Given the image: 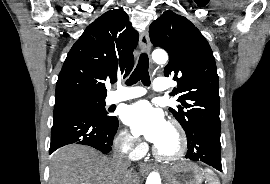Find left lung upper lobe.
<instances>
[{
  "label": "left lung upper lobe",
  "instance_id": "1",
  "mask_svg": "<svg viewBox=\"0 0 270 184\" xmlns=\"http://www.w3.org/2000/svg\"><path fill=\"white\" fill-rule=\"evenodd\" d=\"M155 47L165 49L169 63L164 76H173L181 105L169 108L191 137L196 130L220 132L219 79L211 47L187 18L165 11L149 29Z\"/></svg>",
  "mask_w": 270,
  "mask_h": 184
}]
</instances>
